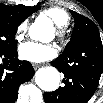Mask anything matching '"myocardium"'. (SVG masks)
I'll return each mask as SVG.
<instances>
[{"mask_svg": "<svg viewBox=\"0 0 103 103\" xmlns=\"http://www.w3.org/2000/svg\"><path fill=\"white\" fill-rule=\"evenodd\" d=\"M64 33H65V31H64V28H63V27H58V28H57V35H58L59 37H63V36H64Z\"/></svg>", "mask_w": 103, "mask_h": 103, "instance_id": "f54148a6", "label": "myocardium"}]
</instances>
